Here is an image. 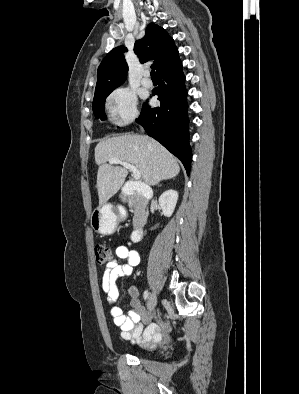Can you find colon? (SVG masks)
I'll return each instance as SVG.
<instances>
[{"mask_svg":"<svg viewBox=\"0 0 299 394\" xmlns=\"http://www.w3.org/2000/svg\"><path fill=\"white\" fill-rule=\"evenodd\" d=\"M96 262L99 265H107L113 260L111 248L106 244H96L94 248Z\"/></svg>","mask_w":299,"mask_h":394,"instance_id":"obj_1","label":"colon"}]
</instances>
